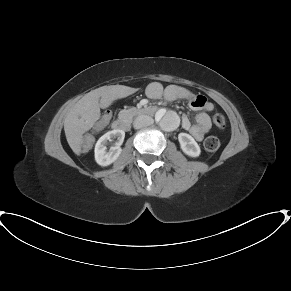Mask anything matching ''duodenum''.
<instances>
[{"mask_svg": "<svg viewBox=\"0 0 291 291\" xmlns=\"http://www.w3.org/2000/svg\"><path fill=\"white\" fill-rule=\"evenodd\" d=\"M157 112V109L153 106L145 107L141 110H139L140 114L146 115V116H154ZM129 122L127 117H120L113 123V129L116 132H124L128 129Z\"/></svg>", "mask_w": 291, "mask_h": 291, "instance_id": "duodenum-1", "label": "duodenum"}]
</instances>
